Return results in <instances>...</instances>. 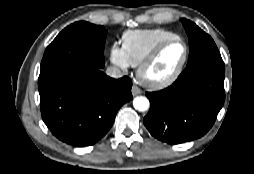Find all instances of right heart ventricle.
<instances>
[{
    "label": "right heart ventricle",
    "instance_id": "1",
    "mask_svg": "<svg viewBox=\"0 0 254 174\" xmlns=\"http://www.w3.org/2000/svg\"><path fill=\"white\" fill-rule=\"evenodd\" d=\"M174 37L177 34L162 28L127 30L122 34V48L130 65L137 67L157 44Z\"/></svg>",
    "mask_w": 254,
    "mask_h": 174
}]
</instances>
